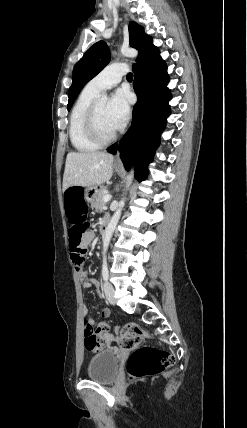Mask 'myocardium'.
Here are the masks:
<instances>
[{"label":"myocardium","mask_w":247,"mask_h":428,"mask_svg":"<svg viewBox=\"0 0 247 428\" xmlns=\"http://www.w3.org/2000/svg\"><path fill=\"white\" fill-rule=\"evenodd\" d=\"M97 106L98 102L95 101L89 108L86 117H85V129L89 137L99 145H107L114 141L117 137V132L114 131L109 136H104L100 133L97 122H96V114H97Z\"/></svg>","instance_id":"1"}]
</instances>
